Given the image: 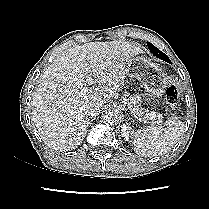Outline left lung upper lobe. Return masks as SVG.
I'll use <instances>...</instances> for the list:
<instances>
[{"label":"left lung upper lobe","mask_w":209,"mask_h":209,"mask_svg":"<svg viewBox=\"0 0 209 209\" xmlns=\"http://www.w3.org/2000/svg\"><path fill=\"white\" fill-rule=\"evenodd\" d=\"M149 50L155 55L157 58L164 60L168 63H171L170 59L166 54H164L162 51H160L158 48H156L153 44L150 42H147Z\"/></svg>","instance_id":"obj_1"}]
</instances>
